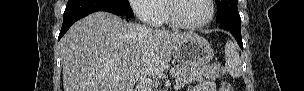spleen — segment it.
<instances>
[{
    "label": "spleen",
    "instance_id": "spleen-1",
    "mask_svg": "<svg viewBox=\"0 0 304 91\" xmlns=\"http://www.w3.org/2000/svg\"><path fill=\"white\" fill-rule=\"evenodd\" d=\"M226 62L225 66L229 74L235 78L241 75V59L238 54L237 48L232 41H228L225 46Z\"/></svg>",
    "mask_w": 304,
    "mask_h": 91
}]
</instances>
